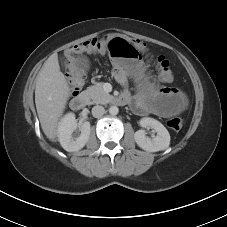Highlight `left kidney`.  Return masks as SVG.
<instances>
[{"label":"left kidney","instance_id":"left-kidney-1","mask_svg":"<svg viewBox=\"0 0 227 227\" xmlns=\"http://www.w3.org/2000/svg\"><path fill=\"white\" fill-rule=\"evenodd\" d=\"M142 127H150L157 132V136L149 138L144 130H138L134 134V139L137 145L148 152H157L165 150L170 145V134L168 130L157 120L144 117L140 120Z\"/></svg>","mask_w":227,"mask_h":227}]
</instances>
